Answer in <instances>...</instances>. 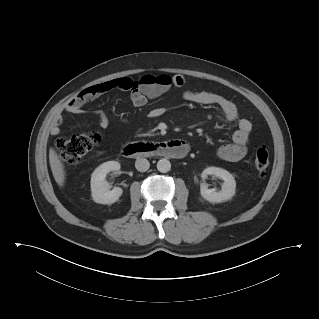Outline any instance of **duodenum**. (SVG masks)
Segmentation results:
<instances>
[{"label":"duodenum","instance_id":"1","mask_svg":"<svg viewBox=\"0 0 319 319\" xmlns=\"http://www.w3.org/2000/svg\"><path fill=\"white\" fill-rule=\"evenodd\" d=\"M188 144L183 140H167L158 143L136 142L125 146L121 154L125 157H165L182 159L188 152Z\"/></svg>","mask_w":319,"mask_h":319}]
</instances>
